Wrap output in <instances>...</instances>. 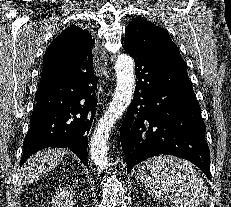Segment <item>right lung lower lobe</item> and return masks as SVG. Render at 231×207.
Segmentation results:
<instances>
[{"mask_svg":"<svg viewBox=\"0 0 231 207\" xmlns=\"http://www.w3.org/2000/svg\"><path fill=\"white\" fill-rule=\"evenodd\" d=\"M85 59L76 64L82 68L74 71L43 66L20 166L43 148L63 147L88 167V133L96 113L98 78L92 57Z\"/></svg>","mask_w":231,"mask_h":207,"instance_id":"obj_1","label":"right lung lower lobe"}]
</instances>
